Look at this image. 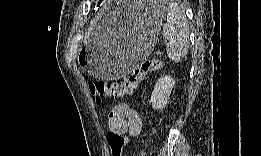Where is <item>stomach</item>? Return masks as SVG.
Returning a JSON list of instances; mask_svg holds the SVG:
<instances>
[{
	"label": "stomach",
	"instance_id": "1",
	"mask_svg": "<svg viewBox=\"0 0 261 156\" xmlns=\"http://www.w3.org/2000/svg\"><path fill=\"white\" fill-rule=\"evenodd\" d=\"M165 13L158 2H139L126 22H116L107 30L96 23L79 55L81 65L96 78L110 80L127 75L150 55Z\"/></svg>",
	"mask_w": 261,
	"mask_h": 156
}]
</instances>
